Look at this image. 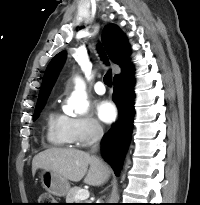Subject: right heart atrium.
I'll use <instances>...</instances> for the list:
<instances>
[{
    "label": "right heart atrium",
    "mask_w": 200,
    "mask_h": 205,
    "mask_svg": "<svg viewBox=\"0 0 200 205\" xmlns=\"http://www.w3.org/2000/svg\"><path fill=\"white\" fill-rule=\"evenodd\" d=\"M66 126L71 142L80 146L90 144L103 134L102 126L89 115L66 116Z\"/></svg>",
    "instance_id": "obj_1"
}]
</instances>
